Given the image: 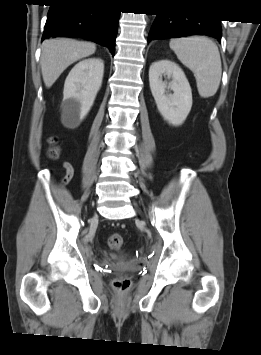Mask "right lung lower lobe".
Here are the masks:
<instances>
[{"label": "right lung lower lobe", "instance_id": "right-lung-lower-lobe-1", "mask_svg": "<svg viewBox=\"0 0 261 355\" xmlns=\"http://www.w3.org/2000/svg\"><path fill=\"white\" fill-rule=\"evenodd\" d=\"M120 11L104 0H51L42 40L85 38L105 45L114 56Z\"/></svg>", "mask_w": 261, "mask_h": 355}]
</instances>
